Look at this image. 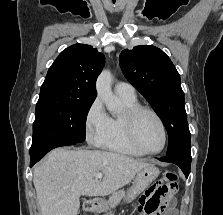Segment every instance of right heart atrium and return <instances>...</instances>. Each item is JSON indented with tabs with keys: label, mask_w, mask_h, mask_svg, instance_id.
<instances>
[{
	"label": "right heart atrium",
	"mask_w": 223,
	"mask_h": 215,
	"mask_svg": "<svg viewBox=\"0 0 223 215\" xmlns=\"http://www.w3.org/2000/svg\"><path fill=\"white\" fill-rule=\"evenodd\" d=\"M110 125V117L102 102L96 98L88 108L85 117V129L90 132L92 142H100Z\"/></svg>",
	"instance_id": "1"
}]
</instances>
